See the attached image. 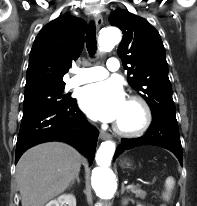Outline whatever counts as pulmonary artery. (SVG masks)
<instances>
[{
  "instance_id": "e3ab8cb5",
  "label": "pulmonary artery",
  "mask_w": 197,
  "mask_h": 206,
  "mask_svg": "<svg viewBox=\"0 0 197 206\" xmlns=\"http://www.w3.org/2000/svg\"><path fill=\"white\" fill-rule=\"evenodd\" d=\"M119 66L120 65L117 58H110L107 61L106 68L95 66L77 69L76 75L68 81V86L74 87L85 83L102 80L108 76L109 71H116L119 69Z\"/></svg>"
}]
</instances>
